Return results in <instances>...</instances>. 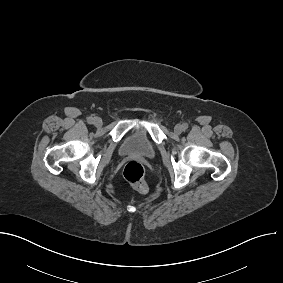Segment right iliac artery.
I'll list each match as a JSON object with an SVG mask.
<instances>
[{
  "mask_svg": "<svg viewBox=\"0 0 283 283\" xmlns=\"http://www.w3.org/2000/svg\"><path fill=\"white\" fill-rule=\"evenodd\" d=\"M93 120H94V118H93V117H89V118L87 119L88 123H90V124H92V123H93Z\"/></svg>",
  "mask_w": 283,
  "mask_h": 283,
  "instance_id": "obj_1",
  "label": "right iliac artery"
}]
</instances>
